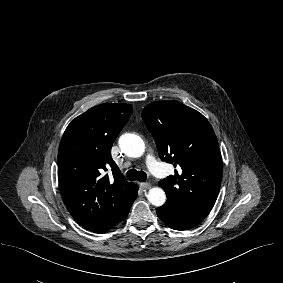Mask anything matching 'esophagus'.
Returning a JSON list of instances; mask_svg holds the SVG:
<instances>
[{
  "mask_svg": "<svg viewBox=\"0 0 283 283\" xmlns=\"http://www.w3.org/2000/svg\"><path fill=\"white\" fill-rule=\"evenodd\" d=\"M140 187L142 188V189H149L150 187H151V184L150 183H141L140 184Z\"/></svg>",
  "mask_w": 283,
  "mask_h": 283,
  "instance_id": "1",
  "label": "esophagus"
}]
</instances>
